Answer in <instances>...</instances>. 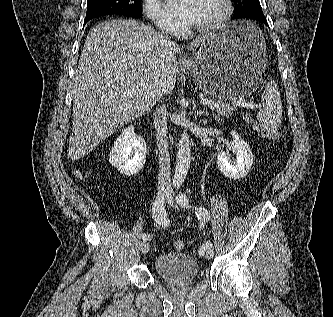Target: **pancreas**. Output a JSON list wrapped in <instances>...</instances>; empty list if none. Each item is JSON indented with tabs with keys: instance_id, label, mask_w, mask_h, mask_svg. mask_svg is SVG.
I'll return each instance as SVG.
<instances>
[{
	"instance_id": "obj_1",
	"label": "pancreas",
	"mask_w": 333,
	"mask_h": 317,
	"mask_svg": "<svg viewBox=\"0 0 333 317\" xmlns=\"http://www.w3.org/2000/svg\"><path fill=\"white\" fill-rule=\"evenodd\" d=\"M213 104H209V108L216 112L218 115H223L229 117L232 112L235 110V106L221 101H213Z\"/></svg>"
}]
</instances>
